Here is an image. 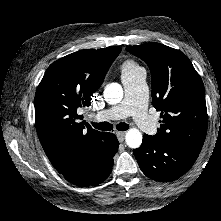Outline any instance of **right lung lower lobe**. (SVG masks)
Here are the masks:
<instances>
[{
    "instance_id": "1",
    "label": "right lung lower lobe",
    "mask_w": 221,
    "mask_h": 221,
    "mask_svg": "<svg viewBox=\"0 0 221 221\" xmlns=\"http://www.w3.org/2000/svg\"><path fill=\"white\" fill-rule=\"evenodd\" d=\"M119 142L112 133L104 132L100 137L97 155L70 164L58 171L66 180L80 187L95 186L105 181L111 173L113 157L118 150Z\"/></svg>"
}]
</instances>
